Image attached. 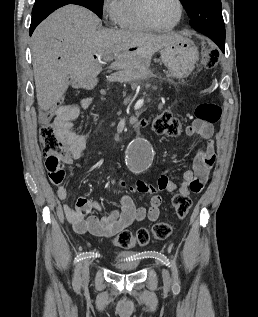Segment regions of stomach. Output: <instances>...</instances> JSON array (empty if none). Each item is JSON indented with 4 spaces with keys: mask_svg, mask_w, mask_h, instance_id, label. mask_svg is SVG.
<instances>
[{
    "mask_svg": "<svg viewBox=\"0 0 258 317\" xmlns=\"http://www.w3.org/2000/svg\"><path fill=\"white\" fill-rule=\"evenodd\" d=\"M162 62L175 78H184L192 72L198 58V46L190 38H181L175 44L164 46L161 50Z\"/></svg>",
    "mask_w": 258,
    "mask_h": 317,
    "instance_id": "1",
    "label": "stomach"
}]
</instances>
